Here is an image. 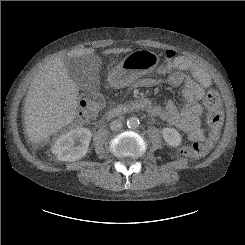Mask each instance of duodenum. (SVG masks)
<instances>
[{
	"label": "duodenum",
	"mask_w": 245,
	"mask_h": 245,
	"mask_svg": "<svg viewBox=\"0 0 245 245\" xmlns=\"http://www.w3.org/2000/svg\"><path fill=\"white\" fill-rule=\"evenodd\" d=\"M155 108V105L148 99H139L136 100L133 103L118 107V108H112L109 109L106 114V119H120L121 117L139 112V111H149L151 109ZM100 125V123H98Z\"/></svg>",
	"instance_id": "duodenum-1"
}]
</instances>
